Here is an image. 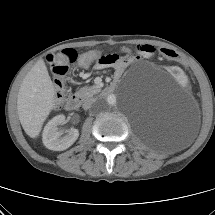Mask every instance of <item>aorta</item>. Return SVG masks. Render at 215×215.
<instances>
[{"mask_svg":"<svg viewBox=\"0 0 215 215\" xmlns=\"http://www.w3.org/2000/svg\"><path fill=\"white\" fill-rule=\"evenodd\" d=\"M116 103V96L114 94H109L105 100H103L102 102H100L99 104H101L104 108H109L112 105H114Z\"/></svg>","mask_w":215,"mask_h":215,"instance_id":"aorta-1","label":"aorta"}]
</instances>
